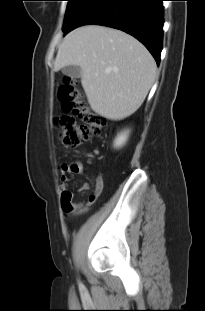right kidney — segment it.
<instances>
[{
    "mask_svg": "<svg viewBox=\"0 0 205 311\" xmlns=\"http://www.w3.org/2000/svg\"><path fill=\"white\" fill-rule=\"evenodd\" d=\"M128 135H129V131H124L120 134H118V136L116 137L115 141H114V147L115 148H120L122 147L127 139H128Z\"/></svg>",
    "mask_w": 205,
    "mask_h": 311,
    "instance_id": "1",
    "label": "right kidney"
}]
</instances>
